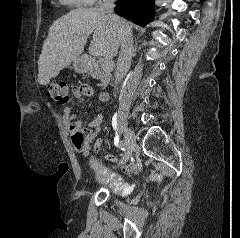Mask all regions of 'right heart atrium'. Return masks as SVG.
<instances>
[{"instance_id":"1","label":"right heart atrium","mask_w":240,"mask_h":238,"mask_svg":"<svg viewBox=\"0 0 240 238\" xmlns=\"http://www.w3.org/2000/svg\"><path fill=\"white\" fill-rule=\"evenodd\" d=\"M90 4L96 3V2H101L105 0H88Z\"/></svg>"}]
</instances>
